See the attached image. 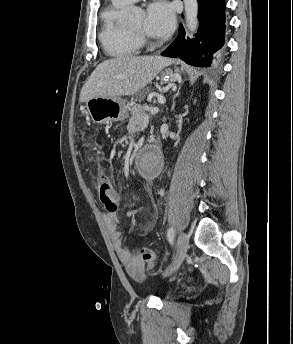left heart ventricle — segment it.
Returning <instances> with one entry per match:
<instances>
[{
    "label": "left heart ventricle",
    "mask_w": 293,
    "mask_h": 344,
    "mask_svg": "<svg viewBox=\"0 0 293 344\" xmlns=\"http://www.w3.org/2000/svg\"><path fill=\"white\" fill-rule=\"evenodd\" d=\"M144 16L139 17L130 27L129 29L135 32H142L144 33Z\"/></svg>",
    "instance_id": "obj_1"
}]
</instances>
